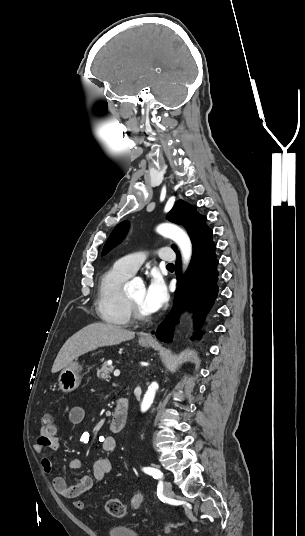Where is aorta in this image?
I'll return each instance as SVG.
<instances>
[{
    "mask_svg": "<svg viewBox=\"0 0 305 536\" xmlns=\"http://www.w3.org/2000/svg\"><path fill=\"white\" fill-rule=\"evenodd\" d=\"M156 231L159 234L172 239L177 244L182 254L184 269H186L192 256V244L187 233L180 227L171 223L160 224L156 228ZM135 283L136 281L134 280L129 283V286H134ZM157 389V382H152L151 385L148 387V390L146 391L141 403L142 412L147 411L152 405Z\"/></svg>",
    "mask_w": 305,
    "mask_h": 536,
    "instance_id": "1",
    "label": "aorta"
}]
</instances>
